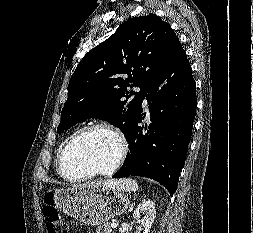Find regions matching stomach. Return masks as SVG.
<instances>
[{
    "label": "stomach",
    "mask_w": 253,
    "mask_h": 233,
    "mask_svg": "<svg viewBox=\"0 0 253 233\" xmlns=\"http://www.w3.org/2000/svg\"><path fill=\"white\" fill-rule=\"evenodd\" d=\"M54 203L77 221L95 226L123 214L129 206V199L123 190L102 183H89L54 190Z\"/></svg>",
    "instance_id": "stomach-1"
}]
</instances>
